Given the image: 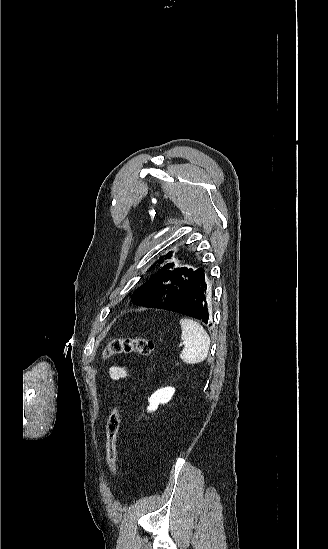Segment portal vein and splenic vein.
Here are the masks:
<instances>
[{
	"mask_svg": "<svg viewBox=\"0 0 328 549\" xmlns=\"http://www.w3.org/2000/svg\"><path fill=\"white\" fill-rule=\"evenodd\" d=\"M179 347H183V344H179Z\"/></svg>",
	"mask_w": 328,
	"mask_h": 549,
	"instance_id": "portal-vein-and-splenic-vein-1",
	"label": "portal vein and splenic vein"
}]
</instances>
